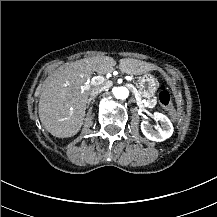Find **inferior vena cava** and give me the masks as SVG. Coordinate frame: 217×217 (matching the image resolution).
Wrapping results in <instances>:
<instances>
[{
	"label": "inferior vena cava",
	"mask_w": 217,
	"mask_h": 217,
	"mask_svg": "<svg viewBox=\"0 0 217 217\" xmlns=\"http://www.w3.org/2000/svg\"><path fill=\"white\" fill-rule=\"evenodd\" d=\"M105 89H106L105 86L97 85V86H94L93 88H91L90 94H91V96H95L97 93H99L100 91H103Z\"/></svg>",
	"instance_id": "602c4592"
}]
</instances>
